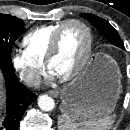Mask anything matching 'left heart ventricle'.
<instances>
[{
	"mask_svg": "<svg viewBox=\"0 0 130 130\" xmlns=\"http://www.w3.org/2000/svg\"><path fill=\"white\" fill-rule=\"evenodd\" d=\"M87 46V34L77 25H68L62 32L59 51L50 64V71L57 77L71 73L81 61Z\"/></svg>",
	"mask_w": 130,
	"mask_h": 130,
	"instance_id": "obj_1",
	"label": "left heart ventricle"
}]
</instances>
